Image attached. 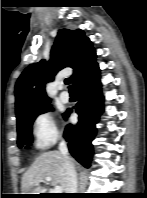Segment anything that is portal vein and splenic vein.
Returning a JSON list of instances; mask_svg holds the SVG:
<instances>
[{
    "label": "portal vein and splenic vein",
    "mask_w": 147,
    "mask_h": 198,
    "mask_svg": "<svg viewBox=\"0 0 147 198\" xmlns=\"http://www.w3.org/2000/svg\"><path fill=\"white\" fill-rule=\"evenodd\" d=\"M45 180L50 182L52 180V178L51 177H46ZM53 193H62V187L59 186V185L55 186L54 189H53Z\"/></svg>",
    "instance_id": "1"
}]
</instances>
